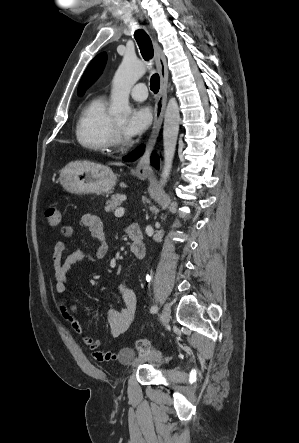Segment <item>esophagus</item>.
I'll list each match as a JSON object with an SVG mask.
<instances>
[{
	"label": "esophagus",
	"mask_w": 299,
	"mask_h": 443,
	"mask_svg": "<svg viewBox=\"0 0 299 443\" xmlns=\"http://www.w3.org/2000/svg\"><path fill=\"white\" fill-rule=\"evenodd\" d=\"M154 51H155V61L156 66L160 75V90L158 93V97L155 104V110H154V122L151 130V134L149 136L145 152L140 157L137 165H136V172L138 173H147L150 170V155L151 152L155 146V143L157 141V137L159 135L165 107H166V101H167V84H168V69H167V63L165 56L158 45V43L154 40Z\"/></svg>",
	"instance_id": "esophagus-1"
}]
</instances>
